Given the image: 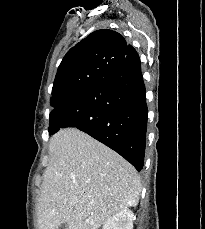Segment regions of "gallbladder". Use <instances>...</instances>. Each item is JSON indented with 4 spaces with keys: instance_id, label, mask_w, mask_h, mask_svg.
<instances>
[{
    "instance_id": "gallbladder-1",
    "label": "gallbladder",
    "mask_w": 205,
    "mask_h": 229,
    "mask_svg": "<svg viewBox=\"0 0 205 229\" xmlns=\"http://www.w3.org/2000/svg\"><path fill=\"white\" fill-rule=\"evenodd\" d=\"M57 229H68L67 223H62Z\"/></svg>"
}]
</instances>
